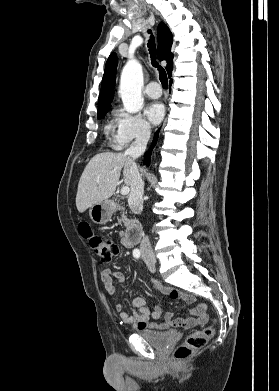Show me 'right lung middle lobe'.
<instances>
[{
    "instance_id": "obj_1",
    "label": "right lung middle lobe",
    "mask_w": 279,
    "mask_h": 391,
    "mask_svg": "<svg viewBox=\"0 0 279 391\" xmlns=\"http://www.w3.org/2000/svg\"><path fill=\"white\" fill-rule=\"evenodd\" d=\"M107 112L108 109L98 112V119L103 118Z\"/></svg>"
}]
</instances>
